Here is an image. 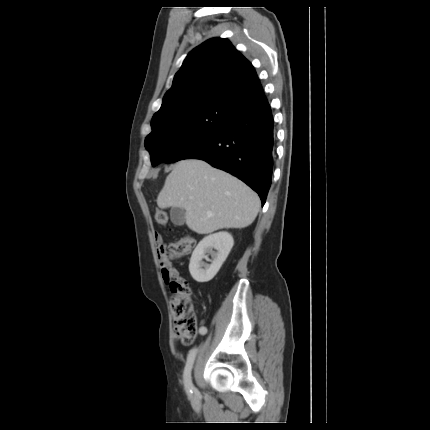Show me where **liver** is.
I'll return each instance as SVG.
<instances>
[{
    "instance_id": "liver-1",
    "label": "liver",
    "mask_w": 430,
    "mask_h": 430,
    "mask_svg": "<svg viewBox=\"0 0 430 430\" xmlns=\"http://www.w3.org/2000/svg\"><path fill=\"white\" fill-rule=\"evenodd\" d=\"M157 205L161 209H185L187 226L198 234H209L252 224L260 199L230 173L204 160L185 159L166 177Z\"/></svg>"
}]
</instances>
